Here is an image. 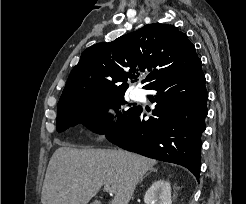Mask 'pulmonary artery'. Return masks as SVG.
<instances>
[{
  "instance_id": "e3ab8cb5",
  "label": "pulmonary artery",
  "mask_w": 246,
  "mask_h": 204,
  "mask_svg": "<svg viewBox=\"0 0 246 204\" xmlns=\"http://www.w3.org/2000/svg\"><path fill=\"white\" fill-rule=\"evenodd\" d=\"M143 94L140 90H134L131 94V97L133 100H140L142 98Z\"/></svg>"
}]
</instances>
